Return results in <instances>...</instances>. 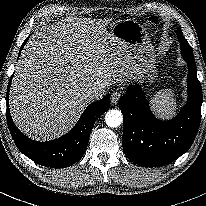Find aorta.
Wrapping results in <instances>:
<instances>
[{
    "label": "aorta",
    "mask_w": 206,
    "mask_h": 206,
    "mask_svg": "<svg viewBox=\"0 0 206 206\" xmlns=\"http://www.w3.org/2000/svg\"><path fill=\"white\" fill-rule=\"evenodd\" d=\"M123 120L121 111L117 109L109 110L105 115V122L109 127H118Z\"/></svg>",
    "instance_id": "aorta-1"
}]
</instances>
